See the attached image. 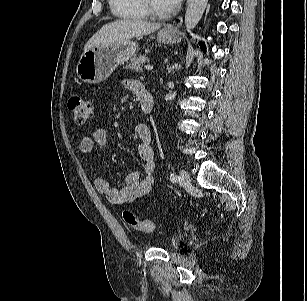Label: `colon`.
<instances>
[{
	"label": "colon",
	"mask_w": 307,
	"mask_h": 301,
	"mask_svg": "<svg viewBox=\"0 0 307 301\" xmlns=\"http://www.w3.org/2000/svg\"><path fill=\"white\" fill-rule=\"evenodd\" d=\"M68 108L75 122L79 125L87 123L94 116V106L92 102L82 96H72L68 101ZM122 216L124 222L137 231L151 233L154 230V224L151 220L139 218L131 211H124Z\"/></svg>",
	"instance_id": "obj_1"
}]
</instances>
